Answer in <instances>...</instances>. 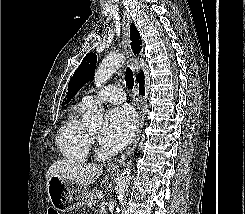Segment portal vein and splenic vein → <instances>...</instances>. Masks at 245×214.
Wrapping results in <instances>:
<instances>
[{"mask_svg":"<svg viewBox=\"0 0 245 214\" xmlns=\"http://www.w3.org/2000/svg\"><path fill=\"white\" fill-rule=\"evenodd\" d=\"M97 198H98V199H101V198H102V194H98V195H97Z\"/></svg>","mask_w":245,"mask_h":214,"instance_id":"portal-vein-and-splenic-vein-1","label":"portal vein and splenic vein"}]
</instances>
